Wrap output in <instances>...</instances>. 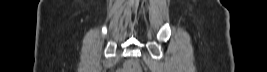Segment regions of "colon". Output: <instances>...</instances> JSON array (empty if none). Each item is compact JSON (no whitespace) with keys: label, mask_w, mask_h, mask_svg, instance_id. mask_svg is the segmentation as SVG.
<instances>
[{"label":"colon","mask_w":267,"mask_h":72,"mask_svg":"<svg viewBox=\"0 0 267 72\" xmlns=\"http://www.w3.org/2000/svg\"><path fill=\"white\" fill-rule=\"evenodd\" d=\"M124 71L125 72H139L140 69L135 63L129 62L126 64Z\"/></svg>","instance_id":"obj_1"}]
</instances>
